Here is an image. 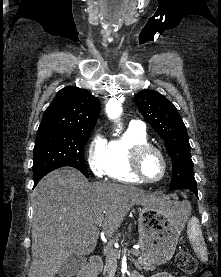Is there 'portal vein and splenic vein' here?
Listing matches in <instances>:
<instances>
[{
    "label": "portal vein and splenic vein",
    "mask_w": 221,
    "mask_h": 277,
    "mask_svg": "<svg viewBox=\"0 0 221 277\" xmlns=\"http://www.w3.org/2000/svg\"><path fill=\"white\" fill-rule=\"evenodd\" d=\"M103 219H104V217L100 216L99 218L96 219L95 223L100 225V224H102Z\"/></svg>",
    "instance_id": "1"
}]
</instances>
